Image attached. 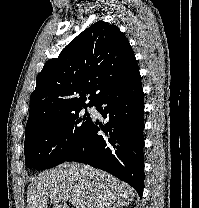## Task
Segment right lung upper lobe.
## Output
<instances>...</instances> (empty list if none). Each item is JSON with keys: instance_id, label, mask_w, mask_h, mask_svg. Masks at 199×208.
<instances>
[{"instance_id": "1", "label": "right lung upper lobe", "mask_w": 199, "mask_h": 208, "mask_svg": "<svg viewBox=\"0 0 199 208\" xmlns=\"http://www.w3.org/2000/svg\"><path fill=\"white\" fill-rule=\"evenodd\" d=\"M139 74L134 52L115 25L98 21L51 59L36 78L25 134L79 108ZM87 96L90 99L85 104Z\"/></svg>"}]
</instances>
